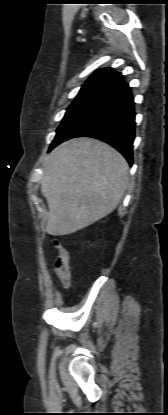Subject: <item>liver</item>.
I'll use <instances>...</instances> for the list:
<instances>
[{
    "label": "liver",
    "instance_id": "obj_1",
    "mask_svg": "<svg viewBox=\"0 0 168 415\" xmlns=\"http://www.w3.org/2000/svg\"><path fill=\"white\" fill-rule=\"evenodd\" d=\"M129 182V165L108 144L92 138L62 143L49 155L41 182L49 213L46 231L63 236L110 214Z\"/></svg>",
    "mask_w": 168,
    "mask_h": 415
}]
</instances>
